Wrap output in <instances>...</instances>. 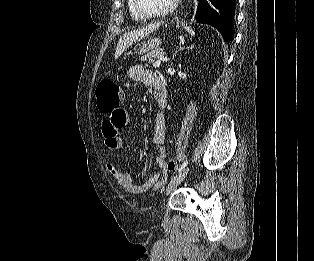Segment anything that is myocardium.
<instances>
[{
    "label": "myocardium",
    "mask_w": 314,
    "mask_h": 261,
    "mask_svg": "<svg viewBox=\"0 0 314 261\" xmlns=\"http://www.w3.org/2000/svg\"><path fill=\"white\" fill-rule=\"evenodd\" d=\"M180 0H173L171 5L162 11H149L142 7L140 0H134L136 10L145 18L166 17L174 12Z\"/></svg>",
    "instance_id": "1"
}]
</instances>
